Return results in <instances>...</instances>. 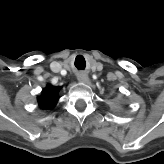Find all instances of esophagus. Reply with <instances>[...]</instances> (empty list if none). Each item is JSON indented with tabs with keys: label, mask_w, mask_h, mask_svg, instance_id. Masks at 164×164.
Here are the masks:
<instances>
[{
	"label": "esophagus",
	"mask_w": 164,
	"mask_h": 164,
	"mask_svg": "<svg viewBox=\"0 0 164 164\" xmlns=\"http://www.w3.org/2000/svg\"><path fill=\"white\" fill-rule=\"evenodd\" d=\"M78 81L81 82V83L88 84L90 82V79H89V77L86 73L81 72L78 75Z\"/></svg>",
	"instance_id": "1"
}]
</instances>
